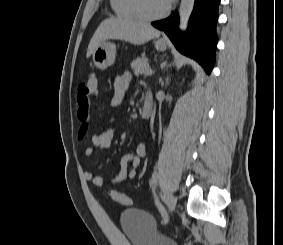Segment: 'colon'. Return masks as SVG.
<instances>
[{
  "mask_svg": "<svg viewBox=\"0 0 283 245\" xmlns=\"http://www.w3.org/2000/svg\"><path fill=\"white\" fill-rule=\"evenodd\" d=\"M98 78L92 73L88 79L79 86L78 89V118L82 125L79 130V138H84L89 133V121L91 118V111L94 106V98L97 90ZM111 198L125 206L132 205V200L125 194L113 190L110 193Z\"/></svg>",
  "mask_w": 283,
  "mask_h": 245,
  "instance_id": "1",
  "label": "colon"
}]
</instances>
